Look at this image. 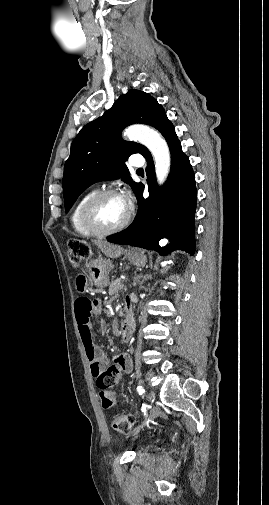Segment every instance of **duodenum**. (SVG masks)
<instances>
[{"label":"duodenum","mask_w":269,"mask_h":505,"mask_svg":"<svg viewBox=\"0 0 269 505\" xmlns=\"http://www.w3.org/2000/svg\"><path fill=\"white\" fill-rule=\"evenodd\" d=\"M134 325H135L134 317L128 303L126 313L121 321L120 326V334L122 341L127 342L131 339L134 330Z\"/></svg>","instance_id":"obj_1"}]
</instances>
